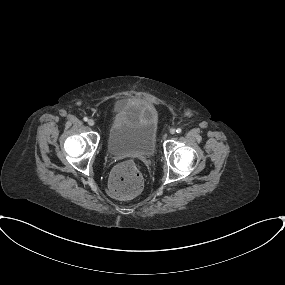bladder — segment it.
<instances>
[{
  "label": "bladder",
  "instance_id": "1",
  "mask_svg": "<svg viewBox=\"0 0 285 285\" xmlns=\"http://www.w3.org/2000/svg\"><path fill=\"white\" fill-rule=\"evenodd\" d=\"M107 151L115 156H153L156 128L143 104L117 109L106 138Z\"/></svg>",
  "mask_w": 285,
  "mask_h": 285
}]
</instances>
